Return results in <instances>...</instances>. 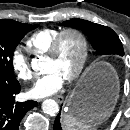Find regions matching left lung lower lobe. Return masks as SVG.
I'll return each mask as SVG.
<instances>
[{"mask_svg": "<svg viewBox=\"0 0 130 130\" xmlns=\"http://www.w3.org/2000/svg\"><path fill=\"white\" fill-rule=\"evenodd\" d=\"M104 79L105 77L98 75H89L88 77H86L82 84L83 95H88V93L93 91L102 81H104ZM54 130H62L60 124V113L55 119Z\"/></svg>", "mask_w": 130, "mask_h": 130, "instance_id": "obj_1", "label": "left lung lower lobe"}]
</instances>
